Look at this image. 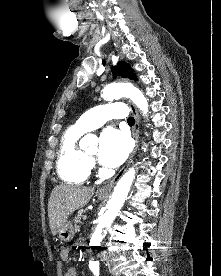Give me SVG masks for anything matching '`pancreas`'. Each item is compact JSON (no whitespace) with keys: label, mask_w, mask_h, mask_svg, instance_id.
<instances>
[{"label":"pancreas","mask_w":221,"mask_h":276,"mask_svg":"<svg viewBox=\"0 0 221 276\" xmlns=\"http://www.w3.org/2000/svg\"><path fill=\"white\" fill-rule=\"evenodd\" d=\"M84 212H85V210L78 211V213L74 219V225H75L76 230H79V224L81 223V218H82V215Z\"/></svg>","instance_id":"pancreas-1"}]
</instances>
